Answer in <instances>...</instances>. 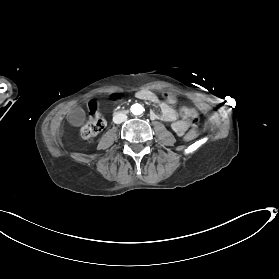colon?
<instances>
[{
  "label": "colon",
  "instance_id": "colon-1",
  "mask_svg": "<svg viewBox=\"0 0 279 279\" xmlns=\"http://www.w3.org/2000/svg\"><path fill=\"white\" fill-rule=\"evenodd\" d=\"M117 96H112V99H117ZM181 117L188 122L191 130L185 136L187 141H191L197 136V126L199 122L197 112L189 107H182L180 109ZM105 127V120L102 114L98 111L92 113L90 119L80 129V137L82 139H89L99 134Z\"/></svg>",
  "mask_w": 279,
  "mask_h": 279
}]
</instances>
